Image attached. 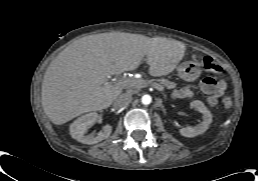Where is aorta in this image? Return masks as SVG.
<instances>
[{"instance_id": "762f6f07", "label": "aorta", "mask_w": 258, "mask_h": 181, "mask_svg": "<svg viewBox=\"0 0 258 181\" xmlns=\"http://www.w3.org/2000/svg\"><path fill=\"white\" fill-rule=\"evenodd\" d=\"M141 102L144 105H149L152 102V97L148 94H145L141 98Z\"/></svg>"}]
</instances>
